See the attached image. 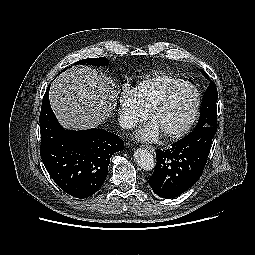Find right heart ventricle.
Here are the masks:
<instances>
[{"instance_id": "right-heart-ventricle-1", "label": "right heart ventricle", "mask_w": 255, "mask_h": 255, "mask_svg": "<svg viewBox=\"0 0 255 255\" xmlns=\"http://www.w3.org/2000/svg\"><path fill=\"white\" fill-rule=\"evenodd\" d=\"M186 81L173 75H155L136 84L133 89L136 99L148 113L170 91Z\"/></svg>"}]
</instances>
